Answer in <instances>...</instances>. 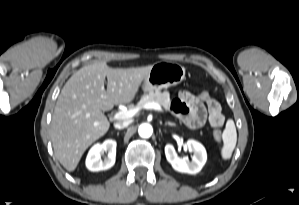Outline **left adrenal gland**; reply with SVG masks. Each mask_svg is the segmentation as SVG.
Wrapping results in <instances>:
<instances>
[{"mask_svg": "<svg viewBox=\"0 0 299 205\" xmlns=\"http://www.w3.org/2000/svg\"><path fill=\"white\" fill-rule=\"evenodd\" d=\"M165 125H166V126H167V125H168V126H176V124H175V123H172V122H166Z\"/></svg>", "mask_w": 299, "mask_h": 205, "instance_id": "left-adrenal-gland-1", "label": "left adrenal gland"}]
</instances>
